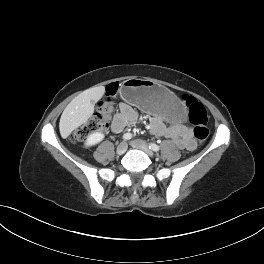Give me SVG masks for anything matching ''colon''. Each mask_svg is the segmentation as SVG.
<instances>
[{
	"mask_svg": "<svg viewBox=\"0 0 264 264\" xmlns=\"http://www.w3.org/2000/svg\"><path fill=\"white\" fill-rule=\"evenodd\" d=\"M118 90L116 83L110 84L106 89L107 97L98 102L94 115L71 136L73 142H79L88 135L107 127L108 122L115 111L113 96ZM189 110V120L193 124V134L199 142H203L209 135L208 115L204 105L194 97L186 98Z\"/></svg>",
	"mask_w": 264,
	"mask_h": 264,
	"instance_id": "obj_1",
	"label": "colon"
}]
</instances>
